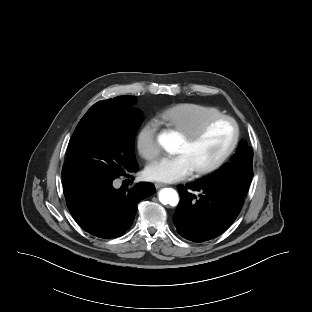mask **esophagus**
<instances>
[{
    "instance_id": "1",
    "label": "esophagus",
    "mask_w": 312,
    "mask_h": 312,
    "mask_svg": "<svg viewBox=\"0 0 312 312\" xmlns=\"http://www.w3.org/2000/svg\"><path fill=\"white\" fill-rule=\"evenodd\" d=\"M166 184L164 183H155V187L158 189V188H161V187H165Z\"/></svg>"
}]
</instances>
